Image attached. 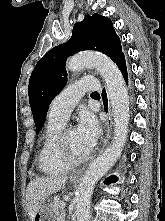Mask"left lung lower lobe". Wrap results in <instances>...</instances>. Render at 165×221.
Here are the masks:
<instances>
[{
  "instance_id": "1",
  "label": "left lung lower lobe",
  "mask_w": 165,
  "mask_h": 221,
  "mask_svg": "<svg viewBox=\"0 0 165 221\" xmlns=\"http://www.w3.org/2000/svg\"><path fill=\"white\" fill-rule=\"evenodd\" d=\"M118 68L120 69L126 83L128 84V75H127V69H126V62H125V57L123 56L117 63ZM102 98H103V102H104V107L105 110L107 111V96H106V92L105 90L102 93ZM117 181V177L116 176H110L106 179V183H114Z\"/></svg>"
}]
</instances>
